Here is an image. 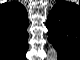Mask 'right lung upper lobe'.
Returning a JSON list of instances; mask_svg holds the SVG:
<instances>
[{
	"mask_svg": "<svg viewBox=\"0 0 80 60\" xmlns=\"http://www.w3.org/2000/svg\"><path fill=\"white\" fill-rule=\"evenodd\" d=\"M28 14L16 2L0 6V46L8 56H22L28 49Z\"/></svg>",
	"mask_w": 80,
	"mask_h": 60,
	"instance_id": "cb5924a9",
	"label": "right lung upper lobe"
}]
</instances>
